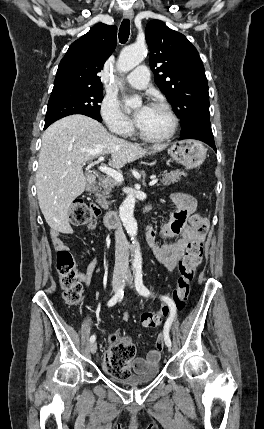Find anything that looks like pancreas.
<instances>
[{
	"label": "pancreas",
	"mask_w": 264,
	"mask_h": 429,
	"mask_svg": "<svg viewBox=\"0 0 264 429\" xmlns=\"http://www.w3.org/2000/svg\"><path fill=\"white\" fill-rule=\"evenodd\" d=\"M161 176H162L161 183L163 185H170L178 182L181 176H185V172L181 170H176L171 172H164ZM117 184L118 182L115 179L111 177H106V178L100 179L99 182H97L96 185H94L89 190L93 192L97 197V203L102 208L108 209L111 202L107 201V199L110 198L111 196L110 193Z\"/></svg>",
	"instance_id": "cf45deb5"
}]
</instances>
